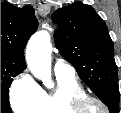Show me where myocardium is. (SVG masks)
Instances as JSON below:
<instances>
[{
  "mask_svg": "<svg viewBox=\"0 0 121 113\" xmlns=\"http://www.w3.org/2000/svg\"><path fill=\"white\" fill-rule=\"evenodd\" d=\"M91 103H96L97 105H99L103 110L102 113H109V107L107 106L106 102L97 96H91V95H84L80 97L76 101V109L89 111L88 106Z\"/></svg>",
  "mask_w": 121,
  "mask_h": 113,
  "instance_id": "f54148a6",
  "label": "myocardium"
}]
</instances>
